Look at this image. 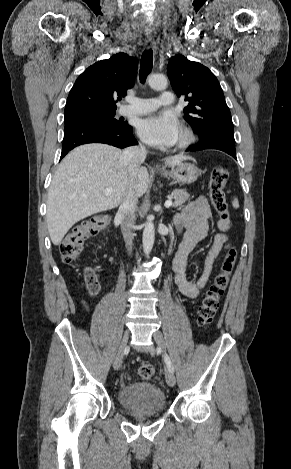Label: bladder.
<instances>
[{
	"label": "bladder",
	"instance_id": "31cf9c89",
	"mask_svg": "<svg viewBox=\"0 0 291 469\" xmlns=\"http://www.w3.org/2000/svg\"><path fill=\"white\" fill-rule=\"evenodd\" d=\"M118 401L129 412L157 413L164 409L166 396L152 383L134 382L119 390Z\"/></svg>",
	"mask_w": 291,
	"mask_h": 469
}]
</instances>
